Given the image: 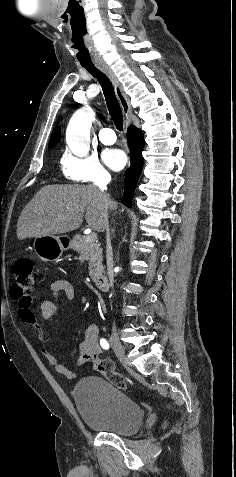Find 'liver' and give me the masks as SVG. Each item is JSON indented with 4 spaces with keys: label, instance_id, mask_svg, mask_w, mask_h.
Instances as JSON below:
<instances>
[{
    "label": "liver",
    "instance_id": "6515ba94",
    "mask_svg": "<svg viewBox=\"0 0 236 477\" xmlns=\"http://www.w3.org/2000/svg\"><path fill=\"white\" fill-rule=\"evenodd\" d=\"M109 206L116 209L117 203L109 199ZM102 212V195L95 186L47 185L22 210L17 237L23 240L76 230L83 222L84 213L90 227L103 231Z\"/></svg>",
    "mask_w": 236,
    "mask_h": 477
}]
</instances>
